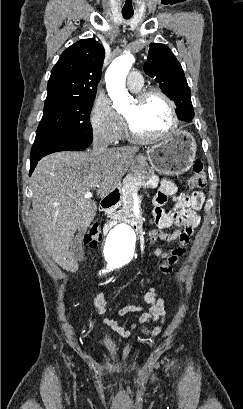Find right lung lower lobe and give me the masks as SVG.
Returning a JSON list of instances; mask_svg holds the SVG:
<instances>
[{
  "label": "right lung lower lobe",
  "mask_w": 243,
  "mask_h": 409,
  "mask_svg": "<svg viewBox=\"0 0 243 409\" xmlns=\"http://www.w3.org/2000/svg\"><path fill=\"white\" fill-rule=\"evenodd\" d=\"M92 136L74 135L58 136L37 134L31 150L30 173L32 174L38 161L44 156L58 151H80L92 143Z\"/></svg>",
  "instance_id": "right-lung-lower-lobe-1"
}]
</instances>
